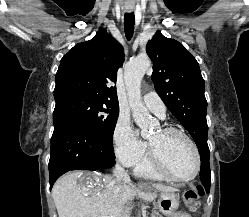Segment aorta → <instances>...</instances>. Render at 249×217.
Listing matches in <instances>:
<instances>
[{
  "instance_id": "aorta-1",
  "label": "aorta",
  "mask_w": 249,
  "mask_h": 217,
  "mask_svg": "<svg viewBox=\"0 0 249 217\" xmlns=\"http://www.w3.org/2000/svg\"><path fill=\"white\" fill-rule=\"evenodd\" d=\"M150 65L151 62L147 57H138L131 60L125 68V82L132 115L142 132H147L155 126V120L149 115L148 110L141 101L140 90L141 80Z\"/></svg>"
}]
</instances>
